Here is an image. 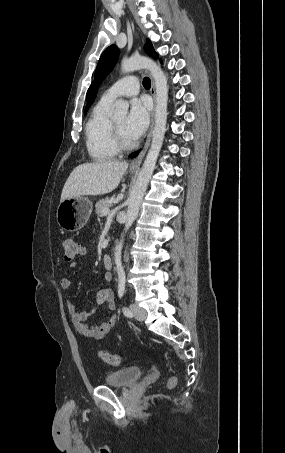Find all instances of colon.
<instances>
[{
    "label": "colon",
    "instance_id": "colon-1",
    "mask_svg": "<svg viewBox=\"0 0 285 453\" xmlns=\"http://www.w3.org/2000/svg\"><path fill=\"white\" fill-rule=\"evenodd\" d=\"M64 250V258L66 261H72L79 255L80 245L73 238H65L62 242ZM99 357L102 361L109 365L117 366L120 365L123 361V358L119 354H113L106 351H100ZM176 384V378L171 377L168 380V386L172 387Z\"/></svg>",
    "mask_w": 285,
    "mask_h": 453
}]
</instances>
